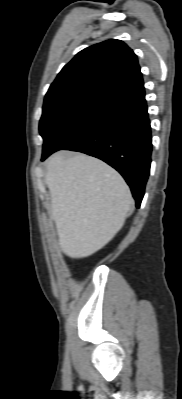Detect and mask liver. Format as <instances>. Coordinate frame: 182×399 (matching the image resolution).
Returning a JSON list of instances; mask_svg holds the SVG:
<instances>
[{"label": "liver", "mask_w": 182, "mask_h": 399, "mask_svg": "<svg viewBox=\"0 0 182 399\" xmlns=\"http://www.w3.org/2000/svg\"><path fill=\"white\" fill-rule=\"evenodd\" d=\"M46 184L59 246L71 258L88 257L103 248L122 228L133 204L121 175L85 154L51 156Z\"/></svg>", "instance_id": "6515ba94"}]
</instances>
